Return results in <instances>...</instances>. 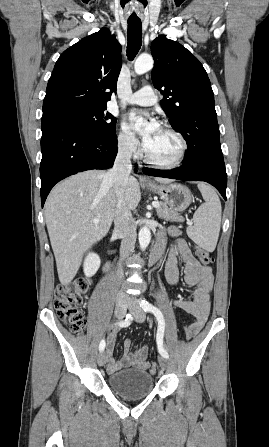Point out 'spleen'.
<instances>
[{"label": "spleen", "instance_id": "3e777b00", "mask_svg": "<svg viewBox=\"0 0 269 447\" xmlns=\"http://www.w3.org/2000/svg\"><path fill=\"white\" fill-rule=\"evenodd\" d=\"M200 190L205 204H201L196 210L193 220L194 225H188L187 233L199 247L206 251H214L221 225V202L212 186L205 182H199Z\"/></svg>", "mask_w": 269, "mask_h": 447}]
</instances>
